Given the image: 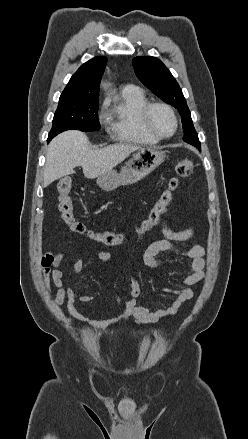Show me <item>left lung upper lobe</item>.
<instances>
[{
    "mask_svg": "<svg viewBox=\"0 0 248 439\" xmlns=\"http://www.w3.org/2000/svg\"><path fill=\"white\" fill-rule=\"evenodd\" d=\"M132 64L138 79L156 96L179 111L182 116L183 140L200 150V141L186 100L168 68L158 58L151 56L136 57Z\"/></svg>",
    "mask_w": 248,
    "mask_h": 439,
    "instance_id": "left-lung-upper-lobe-1",
    "label": "left lung upper lobe"
}]
</instances>
